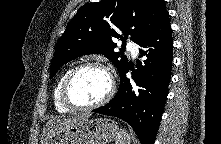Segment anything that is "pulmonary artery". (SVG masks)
Wrapping results in <instances>:
<instances>
[{
    "label": "pulmonary artery",
    "mask_w": 221,
    "mask_h": 144,
    "mask_svg": "<svg viewBox=\"0 0 221 144\" xmlns=\"http://www.w3.org/2000/svg\"><path fill=\"white\" fill-rule=\"evenodd\" d=\"M127 48L131 52L133 57H135L138 54V46L136 43L129 41L127 43Z\"/></svg>",
    "instance_id": "obj_1"
}]
</instances>
